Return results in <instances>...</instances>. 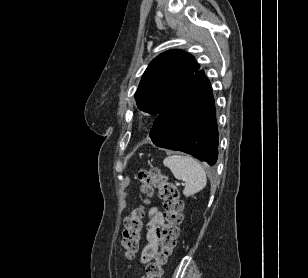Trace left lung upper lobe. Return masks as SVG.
Here are the masks:
<instances>
[{
	"label": "left lung upper lobe",
	"mask_w": 308,
	"mask_h": 278,
	"mask_svg": "<svg viewBox=\"0 0 308 278\" xmlns=\"http://www.w3.org/2000/svg\"><path fill=\"white\" fill-rule=\"evenodd\" d=\"M199 68L187 52L176 49L160 54L145 70L134 95L138 108L158 115Z\"/></svg>",
	"instance_id": "left-lung-upper-lobe-1"
}]
</instances>
